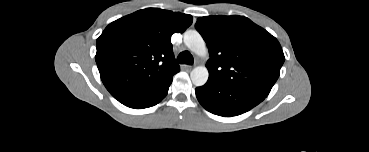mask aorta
I'll use <instances>...</instances> for the list:
<instances>
[{
	"mask_svg": "<svg viewBox=\"0 0 369 152\" xmlns=\"http://www.w3.org/2000/svg\"><path fill=\"white\" fill-rule=\"evenodd\" d=\"M184 43L192 52L199 56L207 54L206 43L195 30L185 32ZM190 77L195 86H203L209 77L208 69L205 66H197L191 71Z\"/></svg>",
	"mask_w": 369,
	"mask_h": 152,
	"instance_id": "1",
	"label": "aorta"
}]
</instances>
